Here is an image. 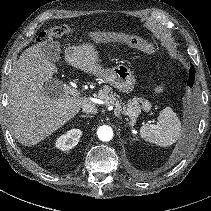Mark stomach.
<instances>
[{
  "instance_id": "stomach-1",
  "label": "stomach",
  "mask_w": 211,
  "mask_h": 211,
  "mask_svg": "<svg viewBox=\"0 0 211 211\" xmlns=\"http://www.w3.org/2000/svg\"><path fill=\"white\" fill-rule=\"evenodd\" d=\"M116 37L121 41L129 40V37L124 33H119ZM102 78L117 88L119 91L124 93L132 92L135 87V78L131 70L123 64L117 65L113 68L105 69Z\"/></svg>"
}]
</instances>
